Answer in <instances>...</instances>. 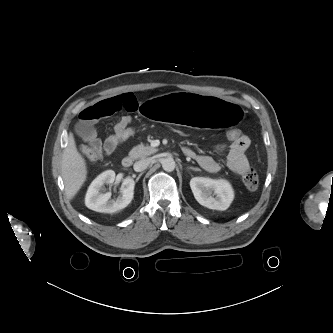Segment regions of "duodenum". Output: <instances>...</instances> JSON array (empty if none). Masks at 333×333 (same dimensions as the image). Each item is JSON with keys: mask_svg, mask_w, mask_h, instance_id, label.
Returning a JSON list of instances; mask_svg holds the SVG:
<instances>
[{"mask_svg": "<svg viewBox=\"0 0 333 333\" xmlns=\"http://www.w3.org/2000/svg\"><path fill=\"white\" fill-rule=\"evenodd\" d=\"M183 151H184V153H185L186 155H190V152H189L188 150L184 149ZM132 164H133V157L130 156V155H127V156H125V157L122 159V165H123V167L128 168V167H130Z\"/></svg>", "mask_w": 333, "mask_h": 333, "instance_id": "1", "label": "duodenum"}]
</instances>
